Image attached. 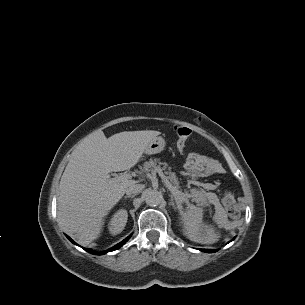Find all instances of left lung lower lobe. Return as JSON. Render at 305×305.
Segmentation results:
<instances>
[{
	"mask_svg": "<svg viewBox=\"0 0 305 305\" xmlns=\"http://www.w3.org/2000/svg\"><path fill=\"white\" fill-rule=\"evenodd\" d=\"M200 250L207 253H213L217 251V249H200Z\"/></svg>",
	"mask_w": 305,
	"mask_h": 305,
	"instance_id": "left-lung-lower-lobe-1",
	"label": "left lung lower lobe"
}]
</instances>
